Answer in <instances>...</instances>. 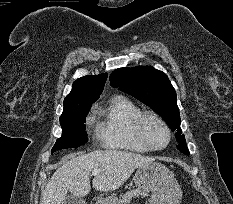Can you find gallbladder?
Segmentation results:
<instances>
[{
	"label": "gallbladder",
	"mask_w": 233,
	"mask_h": 204,
	"mask_svg": "<svg viewBox=\"0 0 233 204\" xmlns=\"http://www.w3.org/2000/svg\"><path fill=\"white\" fill-rule=\"evenodd\" d=\"M62 204H86L82 197H76L74 195H68L62 202Z\"/></svg>",
	"instance_id": "bac80fb5"
}]
</instances>
